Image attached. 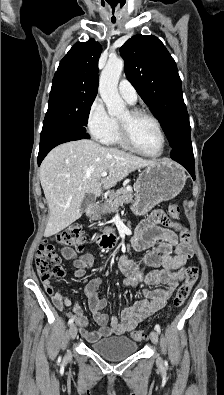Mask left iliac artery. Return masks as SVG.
Here are the masks:
<instances>
[{"instance_id":"obj_1","label":"left iliac artery","mask_w":224,"mask_h":395,"mask_svg":"<svg viewBox=\"0 0 224 395\" xmlns=\"http://www.w3.org/2000/svg\"><path fill=\"white\" fill-rule=\"evenodd\" d=\"M155 330H156L158 333L161 332V328H160L159 324H156V325H155Z\"/></svg>"}]
</instances>
